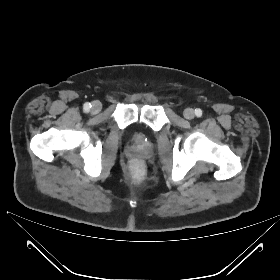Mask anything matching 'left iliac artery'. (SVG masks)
<instances>
[{
  "label": "left iliac artery",
  "instance_id": "44dca946",
  "mask_svg": "<svg viewBox=\"0 0 280 280\" xmlns=\"http://www.w3.org/2000/svg\"><path fill=\"white\" fill-rule=\"evenodd\" d=\"M195 114H196V116L200 117L202 115V110L201 109H196Z\"/></svg>",
  "mask_w": 280,
  "mask_h": 280
}]
</instances>
